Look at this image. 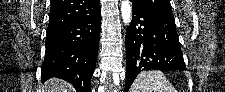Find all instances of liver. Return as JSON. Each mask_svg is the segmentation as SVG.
<instances>
[{"label": "liver", "mask_w": 225, "mask_h": 92, "mask_svg": "<svg viewBox=\"0 0 225 92\" xmlns=\"http://www.w3.org/2000/svg\"><path fill=\"white\" fill-rule=\"evenodd\" d=\"M42 92H73V87L63 80L52 78L42 87Z\"/></svg>", "instance_id": "1"}]
</instances>
